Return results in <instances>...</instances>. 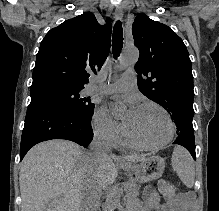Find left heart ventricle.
Returning <instances> with one entry per match:
<instances>
[{"mask_svg":"<svg viewBox=\"0 0 219 211\" xmlns=\"http://www.w3.org/2000/svg\"><path fill=\"white\" fill-rule=\"evenodd\" d=\"M125 125L129 133L144 144L160 143L169 133L165 114L154 106L137 108L130 118L126 117Z\"/></svg>","mask_w":219,"mask_h":211,"instance_id":"b2bd125f","label":"left heart ventricle"}]
</instances>
